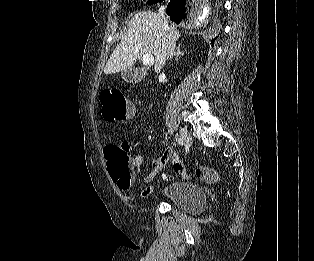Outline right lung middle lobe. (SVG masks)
I'll return each mask as SVG.
<instances>
[{
    "instance_id": "obj_1",
    "label": "right lung middle lobe",
    "mask_w": 314,
    "mask_h": 261,
    "mask_svg": "<svg viewBox=\"0 0 314 261\" xmlns=\"http://www.w3.org/2000/svg\"><path fill=\"white\" fill-rule=\"evenodd\" d=\"M162 0H149L148 4H155V3H158V2H161Z\"/></svg>"
}]
</instances>
